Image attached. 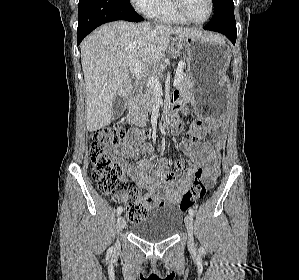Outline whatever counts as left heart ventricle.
Segmentation results:
<instances>
[{"instance_id": "1", "label": "left heart ventricle", "mask_w": 299, "mask_h": 280, "mask_svg": "<svg viewBox=\"0 0 299 280\" xmlns=\"http://www.w3.org/2000/svg\"><path fill=\"white\" fill-rule=\"evenodd\" d=\"M184 8L190 18L203 20L209 11L208 0H184Z\"/></svg>"}]
</instances>
